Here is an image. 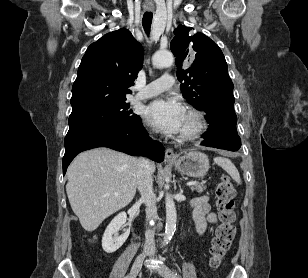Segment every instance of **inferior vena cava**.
<instances>
[{
	"label": "inferior vena cava",
	"instance_id": "602c4592",
	"mask_svg": "<svg viewBox=\"0 0 308 278\" xmlns=\"http://www.w3.org/2000/svg\"><path fill=\"white\" fill-rule=\"evenodd\" d=\"M137 187L141 194V201L146 205L147 221L157 219L156 196L153 192V179L151 164L147 158L141 157L138 159L137 169ZM144 252L152 254L154 250V232L147 229L145 233Z\"/></svg>",
	"mask_w": 308,
	"mask_h": 278
}]
</instances>
